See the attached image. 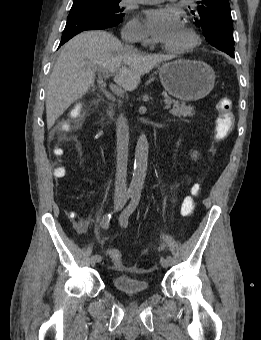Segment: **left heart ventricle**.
<instances>
[{
    "label": "left heart ventricle",
    "mask_w": 261,
    "mask_h": 340,
    "mask_svg": "<svg viewBox=\"0 0 261 340\" xmlns=\"http://www.w3.org/2000/svg\"><path fill=\"white\" fill-rule=\"evenodd\" d=\"M187 41V36L181 28V30L168 42L167 46L176 47L184 44Z\"/></svg>",
    "instance_id": "left-heart-ventricle-1"
}]
</instances>
